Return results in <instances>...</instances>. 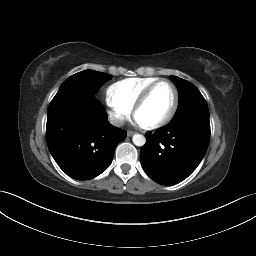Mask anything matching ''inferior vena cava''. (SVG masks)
I'll use <instances>...</instances> for the list:
<instances>
[{"label": "inferior vena cava", "instance_id": "602c4592", "mask_svg": "<svg viewBox=\"0 0 256 256\" xmlns=\"http://www.w3.org/2000/svg\"><path fill=\"white\" fill-rule=\"evenodd\" d=\"M110 123L113 126H122L124 124V118L123 117H114V116H112L110 118Z\"/></svg>", "mask_w": 256, "mask_h": 256}]
</instances>
